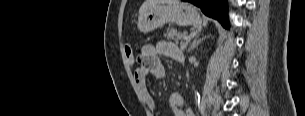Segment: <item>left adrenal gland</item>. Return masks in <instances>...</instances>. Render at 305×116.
I'll list each match as a JSON object with an SVG mask.
<instances>
[{"instance_id": "obj_1", "label": "left adrenal gland", "mask_w": 305, "mask_h": 116, "mask_svg": "<svg viewBox=\"0 0 305 116\" xmlns=\"http://www.w3.org/2000/svg\"><path fill=\"white\" fill-rule=\"evenodd\" d=\"M204 39L205 38L198 39V37H195V39L192 41L188 51L190 52L191 50L195 49ZM186 45H187V42H186Z\"/></svg>"}]
</instances>
